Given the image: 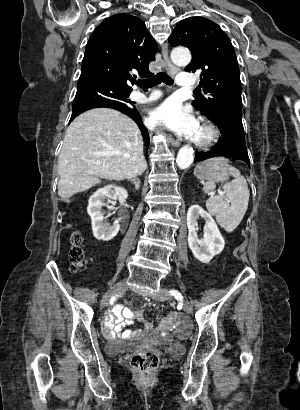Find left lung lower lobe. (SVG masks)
I'll return each mask as SVG.
<instances>
[{
    "label": "left lung lower lobe",
    "instance_id": "0a47b994",
    "mask_svg": "<svg viewBox=\"0 0 300 410\" xmlns=\"http://www.w3.org/2000/svg\"><path fill=\"white\" fill-rule=\"evenodd\" d=\"M211 121L218 126L222 136L209 152H196L194 162L224 156L243 160L250 166L241 117L222 113Z\"/></svg>",
    "mask_w": 300,
    "mask_h": 410
}]
</instances>
